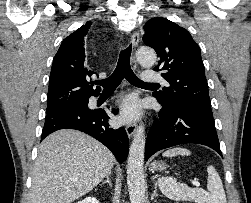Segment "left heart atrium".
I'll use <instances>...</instances> for the list:
<instances>
[{
  "mask_svg": "<svg viewBox=\"0 0 251 203\" xmlns=\"http://www.w3.org/2000/svg\"><path fill=\"white\" fill-rule=\"evenodd\" d=\"M140 109V102L136 98H127L121 104L120 121L130 122L135 120L140 113Z\"/></svg>",
  "mask_w": 251,
  "mask_h": 203,
  "instance_id": "1",
  "label": "left heart atrium"
}]
</instances>
